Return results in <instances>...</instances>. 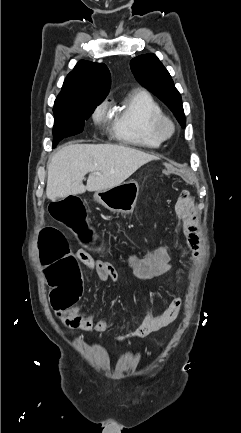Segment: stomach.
Here are the masks:
<instances>
[{
    "label": "stomach",
    "mask_w": 241,
    "mask_h": 433,
    "mask_svg": "<svg viewBox=\"0 0 241 433\" xmlns=\"http://www.w3.org/2000/svg\"><path fill=\"white\" fill-rule=\"evenodd\" d=\"M139 183L129 181L113 188L98 191L94 200L113 213H131L137 203Z\"/></svg>",
    "instance_id": "1"
}]
</instances>
